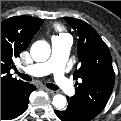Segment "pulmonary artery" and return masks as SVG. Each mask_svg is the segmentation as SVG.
Returning a JSON list of instances; mask_svg holds the SVG:
<instances>
[{"label": "pulmonary artery", "mask_w": 121, "mask_h": 121, "mask_svg": "<svg viewBox=\"0 0 121 121\" xmlns=\"http://www.w3.org/2000/svg\"><path fill=\"white\" fill-rule=\"evenodd\" d=\"M71 38L68 35L56 36L52 39V55L42 63L23 68V72L36 77L53 74L54 81L66 94L73 95L74 88L65 75V65L71 48Z\"/></svg>", "instance_id": "1"}]
</instances>
